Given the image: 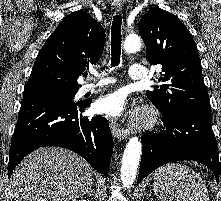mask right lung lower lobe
<instances>
[{
	"label": "right lung lower lobe",
	"instance_id": "1",
	"mask_svg": "<svg viewBox=\"0 0 221 201\" xmlns=\"http://www.w3.org/2000/svg\"><path fill=\"white\" fill-rule=\"evenodd\" d=\"M90 103L43 96L23 97L12 136L8 176L30 152L43 146L64 147L82 156L107 175L113 151L108 121L101 116L82 117Z\"/></svg>",
	"mask_w": 221,
	"mask_h": 201
}]
</instances>
